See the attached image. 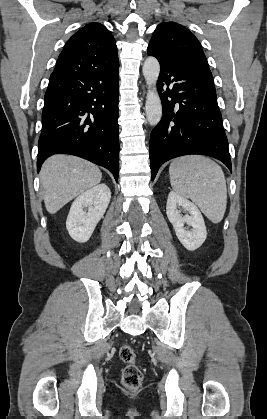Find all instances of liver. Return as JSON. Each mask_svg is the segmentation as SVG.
<instances>
[{
    "label": "liver",
    "instance_id": "1",
    "mask_svg": "<svg viewBox=\"0 0 267 419\" xmlns=\"http://www.w3.org/2000/svg\"><path fill=\"white\" fill-rule=\"evenodd\" d=\"M101 178L100 169L81 158L69 155L48 158L40 172L47 211L55 214L69 201L98 184Z\"/></svg>",
    "mask_w": 267,
    "mask_h": 419
}]
</instances>
